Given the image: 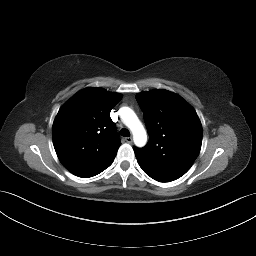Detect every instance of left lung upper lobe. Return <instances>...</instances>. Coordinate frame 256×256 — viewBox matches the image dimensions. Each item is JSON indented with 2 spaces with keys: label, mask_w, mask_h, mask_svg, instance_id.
Segmentation results:
<instances>
[{
  "label": "left lung upper lobe",
  "mask_w": 256,
  "mask_h": 256,
  "mask_svg": "<svg viewBox=\"0 0 256 256\" xmlns=\"http://www.w3.org/2000/svg\"><path fill=\"white\" fill-rule=\"evenodd\" d=\"M150 136L143 148L134 147L147 175L176 180L199 155L202 126L194 109L179 95L152 90L136 95Z\"/></svg>",
  "instance_id": "5c2ea615"
}]
</instances>
